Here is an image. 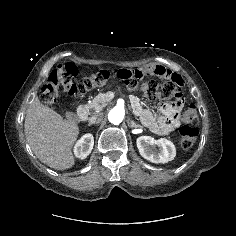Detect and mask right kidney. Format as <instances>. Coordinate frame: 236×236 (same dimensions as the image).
<instances>
[{
  "instance_id": "obj_1",
  "label": "right kidney",
  "mask_w": 236,
  "mask_h": 236,
  "mask_svg": "<svg viewBox=\"0 0 236 236\" xmlns=\"http://www.w3.org/2000/svg\"><path fill=\"white\" fill-rule=\"evenodd\" d=\"M94 146V137L88 133L83 135L74 146V154L79 159H85L92 151Z\"/></svg>"
}]
</instances>
